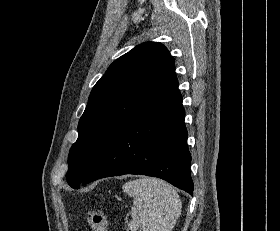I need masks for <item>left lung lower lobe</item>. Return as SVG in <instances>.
<instances>
[{
    "mask_svg": "<svg viewBox=\"0 0 280 231\" xmlns=\"http://www.w3.org/2000/svg\"><path fill=\"white\" fill-rule=\"evenodd\" d=\"M184 117L176 88L110 143L82 185L104 177L140 174L164 179L192 195Z\"/></svg>",
    "mask_w": 280,
    "mask_h": 231,
    "instance_id": "0a47b994",
    "label": "left lung lower lobe"
}]
</instances>
